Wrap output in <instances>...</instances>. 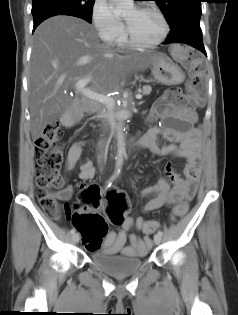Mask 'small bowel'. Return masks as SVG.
<instances>
[{"mask_svg": "<svg viewBox=\"0 0 238 315\" xmlns=\"http://www.w3.org/2000/svg\"><path fill=\"white\" fill-rule=\"evenodd\" d=\"M161 132L160 128L153 127L140 134L136 139L137 148L149 149L158 156L172 155L185 158L187 163L184 167V177L178 175L172 164L169 163L165 170L166 177H161L155 185L142 190V196L149 197V200L143 205L144 212L157 210L166 204H172L178 200L186 203L194 195L201 173V130L193 127L187 131L173 135V140L179 142V146L174 143H160L159 135ZM83 145L82 141L71 143L67 155V170L69 172L77 171L78 178L86 181L94 177L95 168L90 160H86L77 168V162L82 153ZM170 181H172L173 187L170 185ZM72 193V187L67 186L56 192L55 197L58 200L65 201L71 197ZM69 217L72 216L70 215ZM146 222L142 217L136 219L128 217L125 219L118 233L111 232L105 235L102 245L103 251L108 254L120 252L122 255L128 257L144 255L152 246L151 237L147 235L141 238L136 234L127 235V231L133 227L142 229ZM126 240L129 242L128 246H125Z\"/></svg>", "mask_w": 238, "mask_h": 315, "instance_id": "1", "label": "small bowel"}]
</instances>
